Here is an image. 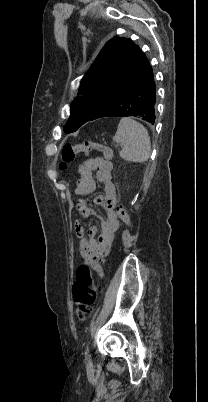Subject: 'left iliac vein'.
Masks as SVG:
<instances>
[{"mask_svg":"<svg viewBox=\"0 0 208 402\" xmlns=\"http://www.w3.org/2000/svg\"><path fill=\"white\" fill-rule=\"evenodd\" d=\"M88 363H89V364L91 363V358H90V357L88 358Z\"/></svg>","mask_w":208,"mask_h":402,"instance_id":"4c4485c4","label":"left iliac vein"}]
</instances>
